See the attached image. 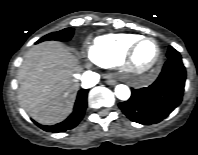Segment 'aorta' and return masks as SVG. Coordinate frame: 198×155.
Listing matches in <instances>:
<instances>
[{
	"label": "aorta",
	"instance_id": "762f6f07",
	"mask_svg": "<svg viewBox=\"0 0 198 155\" xmlns=\"http://www.w3.org/2000/svg\"><path fill=\"white\" fill-rule=\"evenodd\" d=\"M115 95L118 99L126 101L130 98L131 91L128 86L119 84L115 87Z\"/></svg>",
	"mask_w": 198,
	"mask_h": 155
}]
</instances>
